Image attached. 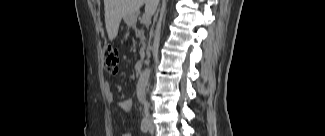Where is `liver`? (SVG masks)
<instances>
[{
	"instance_id": "1",
	"label": "liver",
	"mask_w": 325,
	"mask_h": 136,
	"mask_svg": "<svg viewBox=\"0 0 325 136\" xmlns=\"http://www.w3.org/2000/svg\"><path fill=\"white\" fill-rule=\"evenodd\" d=\"M144 3L146 13H153L155 2L151 0H104L105 24L110 41L116 38L121 19L128 15L137 17Z\"/></svg>"
}]
</instances>
